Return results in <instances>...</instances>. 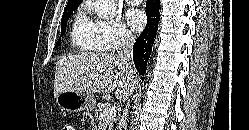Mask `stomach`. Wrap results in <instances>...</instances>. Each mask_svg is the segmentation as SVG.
Wrapping results in <instances>:
<instances>
[{"label":"stomach","mask_w":249,"mask_h":130,"mask_svg":"<svg viewBox=\"0 0 249 130\" xmlns=\"http://www.w3.org/2000/svg\"><path fill=\"white\" fill-rule=\"evenodd\" d=\"M58 106L67 112L92 111L96 106V99L92 94L66 91L56 97Z\"/></svg>","instance_id":"1"}]
</instances>
